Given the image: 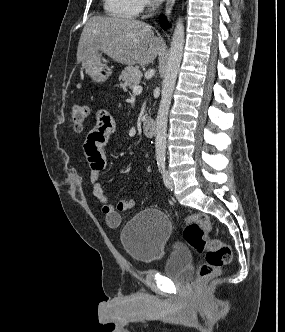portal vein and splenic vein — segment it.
I'll list each match as a JSON object with an SVG mask.
<instances>
[{
    "mask_svg": "<svg viewBox=\"0 0 285 332\" xmlns=\"http://www.w3.org/2000/svg\"><path fill=\"white\" fill-rule=\"evenodd\" d=\"M132 92H133V94H140V93L142 92V86L135 85V86L132 88Z\"/></svg>",
    "mask_w": 285,
    "mask_h": 332,
    "instance_id": "obj_1",
    "label": "portal vein and splenic vein"
}]
</instances>
